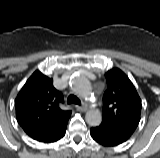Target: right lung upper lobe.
I'll use <instances>...</instances> for the list:
<instances>
[{"mask_svg": "<svg viewBox=\"0 0 160 158\" xmlns=\"http://www.w3.org/2000/svg\"><path fill=\"white\" fill-rule=\"evenodd\" d=\"M52 83L51 78L35 71L15 100L19 125L28 136L39 142L60 133L71 115L70 110L61 108L63 95Z\"/></svg>", "mask_w": 160, "mask_h": 158, "instance_id": "1", "label": "right lung upper lobe"}]
</instances>
